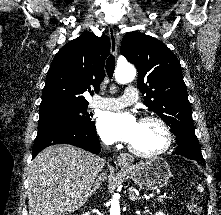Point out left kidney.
Here are the masks:
<instances>
[{"mask_svg": "<svg viewBox=\"0 0 221 215\" xmlns=\"http://www.w3.org/2000/svg\"><path fill=\"white\" fill-rule=\"evenodd\" d=\"M155 215H165L163 212H157Z\"/></svg>", "mask_w": 221, "mask_h": 215, "instance_id": "obj_1", "label": "left kidney"}]
</instances>
